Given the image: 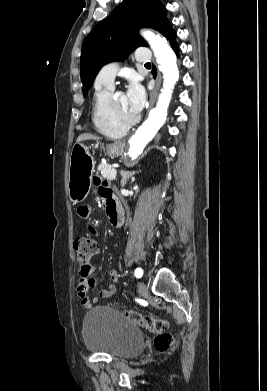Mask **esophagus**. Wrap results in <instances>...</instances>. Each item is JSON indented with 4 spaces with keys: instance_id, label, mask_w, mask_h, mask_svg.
I'll return each instance as SVG.
<instances>
[{
    "instance_id": "obj_1",
    "label": "esophagus",
    "mask_w": 267,
    "mask_h": 391,
    "mask_svg": "<svg viewBox=\"0 0 267 391\" xmlns=\"http://www.w3.org/2000/svg\"><path fill=\"white\" fill-rule=\"evenodd\" d=\"M161 80H162L161 74L158 73L156 86H155V88L153 89V91L150 94V107H152L154 105V103H155V100H156V97H157V93H158V90H159L160 85H161Z\"/></svg>"
}]
</instances>
